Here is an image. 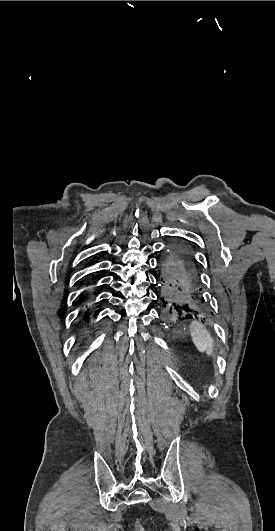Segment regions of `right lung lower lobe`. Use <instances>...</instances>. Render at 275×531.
I'll use <instances>...</instances> for the list:
<instances>
[{"instance_id":"1","label":"right lung lower lobe","mask_w":275,"mask_h":531,"mask_svg":"<svg viewBox=\"0 0 275 531\" xmlns=\"http://www.w3.org/2000/svg\"><path fill=\"white\" fill-rule=\"evenodd\" d=\"M90 318H91L90 313L86 311V312L81 316V322H82L84 325H86V324L89 322Z\"/></svg>"}]
</instances>
